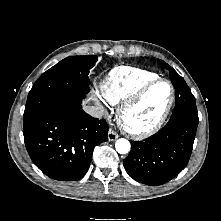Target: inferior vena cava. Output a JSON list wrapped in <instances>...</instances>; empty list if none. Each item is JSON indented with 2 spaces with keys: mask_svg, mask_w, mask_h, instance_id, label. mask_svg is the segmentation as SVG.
Masks as SVG:
<instances>
[{
  "mask_svg": "<svg viewBox=\"0 0 221 221\" xmlns=\"http://www.w3.org/2000/svg\"><path fill=\"white\" fill-rule=\"evenodd\" d=\"M84 110L93 117L101 118L102 108L96 106H86Z\"/></svg>",
  "mask_w": 221,
  "mask_h": 221,
  "instance_id": "inferior-vena-cava-1",
  "label": "inferior vena cava"
}]
</instances>
